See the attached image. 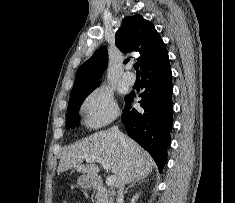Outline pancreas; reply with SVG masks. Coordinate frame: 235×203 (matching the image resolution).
<instances>
[{
    "instance_id": "obj_1",
    "label": "pancreas",
    "mask_w": 235,
    "mask_h": 203,
    "mask_svg": "<svg viewBox=\"0 0 235 203\" xmlns=\"http://www.w3.org/2000/svg\"><path fill=\"white\" fill-rule=\"evenodd\" d=\"M95 199L96 203H113L112 197L103 186L96 189Z\"/></svg>"
}]
</instances>
